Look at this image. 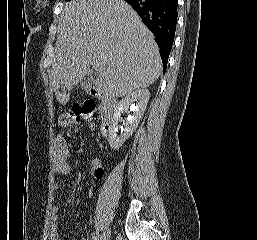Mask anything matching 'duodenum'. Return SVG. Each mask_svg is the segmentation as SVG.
Returning <instances> with one entry per match:
<instances>
[{"label": "duodenum", "instance_id": "obj_1", "mask_svg": "<svg viewBox=\"0 0 257 240\" xmlns=\"http://www.w3.org/2000/svg\"><path fill=\"white\" fill-rule=\"evenodd\" d=\"M87 92L91 96L98 98L102 103V131L106 134L111 127L112 116L117 106V100L94 86H88Z\"/></svg>", "mask_w": 257, "mask_h": 240}]
</instances>
